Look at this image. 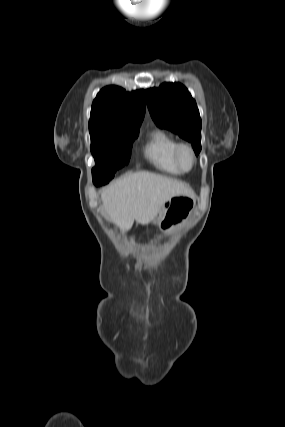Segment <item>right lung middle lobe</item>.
Returning a JSON list of instances; mask_svg holds the SVG:
<instances>
[{"mask_svg":"<svg viewBox=\"0 0 285 427\" xmlns=\"http://www.w3.org/2000/svg\"><path fill=\"white\" fill-rule=\"evenodd\" d=\"M89 131L96 163L92 169L93 182L103 185L114 177L116 170L128 164L139 127H89Z\"/></svg>","mask_w":285,"mask_h":427,"instance_id":"obj_1","label":"right lung middle lobe"}]
</instances>
